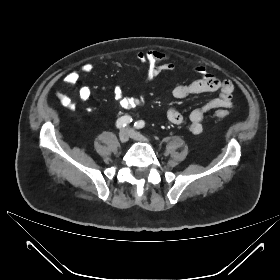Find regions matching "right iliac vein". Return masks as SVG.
<instances>
[{"mask_svg": "<svg viewBox=\"0 0 280 280\" xmlns=\"http://www.w3.org/2000/svg\"><path fill=\"white\" fill-rule=\"evenodd\" d=\"M130 138V129H124L119 133V140L126 143Z\"/></svg>", "mask_w": 280, "mask_h": 280, "instance_id": "63e3f726", "label": "right iliac vein"}]
</instances>
